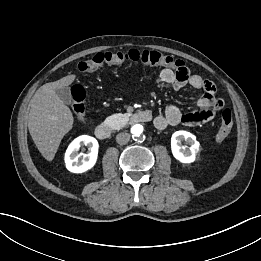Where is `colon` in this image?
I'll use <instances>...</instances> for the list:
<instances>
[{
    "mask_svg": "<svg viewBox=\"0 0 261 261\" xmlns=\"http://www.w3.org/2000/svg\"><path fill=\"white\" fill-rule=\"evenodd\" d=\"M126 62L141 63L147 66H166L176 70L181 69L184 63L169 55H164L154 50L139 51L131 49L128 51H106L94 54L92 57L82 61L78 69L83 73H93L103 65H119ZM72 109L79 119L84 115L85 90L81 85L71 88ZM233 126V115L230 109H225L221 115V125L216 134V142L222 143L230 134Z\"/></svg>",
    "mask_w": 261,
    "mask_h": 261,
    "instance_id": "colon-1",
    "label": "colon"
}]
</instances>
